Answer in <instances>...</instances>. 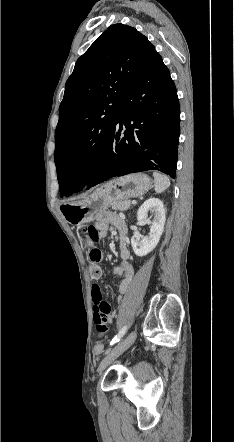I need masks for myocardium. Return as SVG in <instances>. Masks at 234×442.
<instances>
[{
    "instance_id": "myocardium-1",
    "label": "myocardium",
    "mask_w": 234,
    "mask_h": 442,
    "mask_svg": "<svg viewBox=\"0 0 234 442\" xmlns=\"http://www.w3.org/2000/svg\"><path fill=\"white\" fill-rule=\"evenodd\" d=\"M78 171H79V172L81 171V167H78Z\"/></svg>"
}]
</instances>
